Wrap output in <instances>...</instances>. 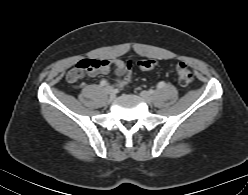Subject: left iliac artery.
<instances>
[{
    "instance_id": "left-iliac-artery-1",
    "label": "left iliac artery",
    "mask_w": 248,
    "mask_h": 195,
    "mask_svg": "<svg viewBox=\"0 0 248 195\" xmlns=\"http://www.w3.org/2000/svg\"><path fill=\"white\" fill-rule=\"evenodd\" d=\"M165 86V82L161 81L157 84V88H163Z\"/></svg>"
}]
</instances>
